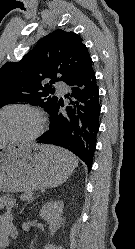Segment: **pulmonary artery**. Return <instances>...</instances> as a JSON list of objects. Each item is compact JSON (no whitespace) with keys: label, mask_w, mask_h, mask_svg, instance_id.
Returning <instances> with one entry per match:
<instances>
[{"label":"pulmonary artery","mask_w":135,"mask_h":249,"mask_svg":"<svg viewBox=\"0 0 135 249\" xmlns=\"http://www.w3.org/2000/svg\"><path fill=\"white\" fill-rule=\"evenodd\" d=\"M56 89L58 91H63L65 89V85L63 83H57L56 84Z\"/></svg>","instance_id":"pulmonary-artery-1"}]
</instances>
